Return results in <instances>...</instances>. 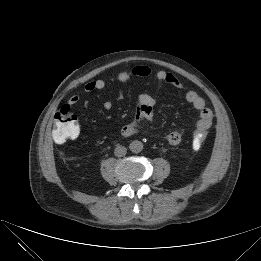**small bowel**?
<instances>
[{"label":"small bowel","mask_w":261,"mask_h":261,"mask_svg":"<svg viewBox=\"0 0 261 261\" xmlns=\"http://www.w3.org/2000/svg\"><path fill=\"white\" fill-rule=\"evenodd\" d=\"M132 76L138 77H154L157 81L158 88H161L164 84H170L178 89H183V83L173 74L168 71H152L148 66L138 65L129 71H121L117 74V79L120 82H127ZM106 86V82L103 79L90 80L84 85L86 92L100 91ZM186 101L193 106L199 113V119L196 123V131L207 130L212 125L213 114L212 111L206 107L205 100L194 90H188L185 93ZM78 95H73L68 100L69 106H74L79 102ZM138 108L136 111L135 120L126 124L121 129V134L124 137H131L137 132V124L139 121H151L154 114V106L156 99L145 93L137 95ZM103 107L106 110L112 108L110 101H105ZM184 137V133L181 130H173L166 134L165 139L171 145L179 144Z\"/></svg>","instance_id":"small-bowel-1"}]
</instances>
